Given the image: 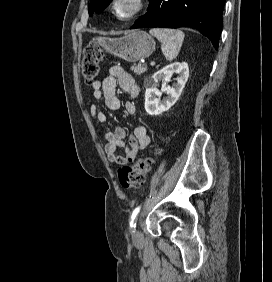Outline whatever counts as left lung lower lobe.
<instances>
[{
	"instance_id": "1",
	"label": "left lung lower lobe",
	"mask_w": 272,
	"mask_h": 282,
	"mask_svg": "<svg viewBox=\"0 0 272 282\" xmlns=\"http://www.w3.org/2000/svg\"><path fill=\"white\" fill-rule=\"evenodd\" d=\"M149 10L131 29L188 26L208 37L217 49L225 0H149Z\"/></svg>"
}]
</instances>
